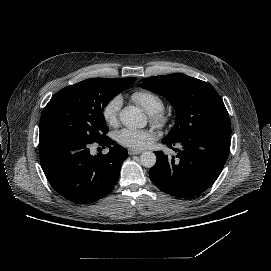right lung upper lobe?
<instances>
[{
  "mask_svg": "<svg viewBox=\"0 0 271 271\" xmlns=\"http://www.w3.org/2000/svg\"><path fill=\"white\" fill-rule=\"evenodd\" d=\"M134 78H136V77H134ZM85 81V80H84ZM84 81H81V82H79V83H76V84H80V83H82V82H84Z\"/></svg>",
  "mask_w": 271,
  "mask_h": 271,
  "instance_id": "cb5924a9",
  "label": "right lung upper lobe"
}]
</instances>
